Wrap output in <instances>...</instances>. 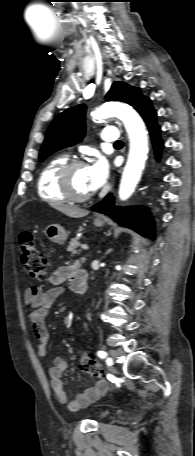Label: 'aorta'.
<instances>
[{
	"instance_id": "762f6f07",
	"label": "aorta",
	"mask_w": 195,
	"mask_h": 456,
	"mask_svg": "<svg viewBox=\"0 0 195 456\" xmlns=\"http://www.w3.org/2000/svg\"><path fill=\"white\" fill-rule=\"evenodd\" d=\"M91 115L94 119L115 116L125 125L130 148L120 182L119 197L121 200H126L134 192L145 167L148 154V135L145 125L138 113L123 103L107 102L93 111Z\"/></svg>"
}]
</instances>
